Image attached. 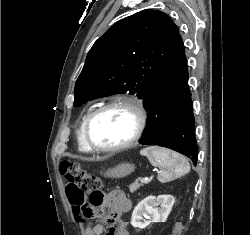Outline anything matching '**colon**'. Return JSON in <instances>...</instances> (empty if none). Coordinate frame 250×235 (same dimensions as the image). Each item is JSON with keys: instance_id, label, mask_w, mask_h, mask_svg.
<instances>
[{"instance_id": "1", "label": "colon", "mask_w": 250, "mask_h": 235, "mask_svg": "<svg viewBox=\"0 0 250 235\" xmlns=\"http://www.w3.org/2000/svg\"><path fill=\"white\" fill-rule=\"evenodd\" d=\"M60 168L61 174L67 182L66 193L72 205H83L86 196L89 197V206L92 209L101 206L106 201L100 179L86 172L79 163L63 161ZM93 216L94 214L89 218Z\"/></svg>"}]
</instances>
